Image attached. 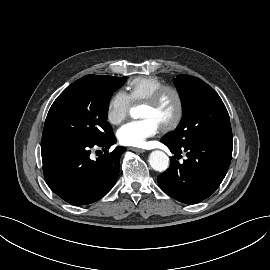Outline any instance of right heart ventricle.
<instances>
[{
  "mask_svg": "<svg viewBox=\"0 0 270 270\" xmlns=\"http://www.w3.org/2000/svg\"><path fill=\"white\" fill-rule=\"evenodd\" d=\"M163 85L164 81L156 76L135 77L127 85L128 95L133 102H141Z\"/></svg>",
  "mask_w": 270,
  "mask_h": 270,
  "instance_id": "right-heart-ventricle-1",
  "label": "right heart ventricle"
}]
</instances>
